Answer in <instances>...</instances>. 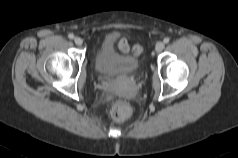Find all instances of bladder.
Instances as JSON below:
<instances>
[{
  "instance_id": "1",
  "label": "bladder",
  "mask_w": 238,
  "mask_h": 158,
  "mask_svg": "<svg viewBox=\"0 0 238 158\" xmlns=\"http://www.w3.org/2000/svg\"><path fill=\"white\" fill-rule=\"evenodd\" d=\"M117 35L108 34L99 43L95 53V68L104 76L130 74L138 70L139 58L135 54H122L116 49Z\"/></svg>"
}]
</instances>
